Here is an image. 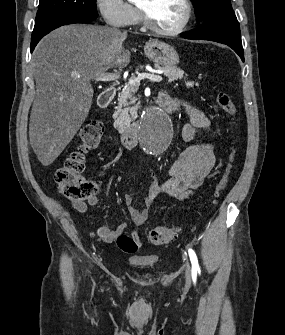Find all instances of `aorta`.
I'll return each mask as SVG.
<instances>
[{
	"instance_id": "aorta-1",
	"label": "aorta",
	"mask_w": 285,
	"mask_h": 335,
	"mask_svg": "<svg viewBox=\"0 0 285 335\" xmlns=\"http://www.w3.org/2000/svg\"><path fill=\"white\" fill-rule=\"evenodd\" d=\"M144 110L142 125L135 127V134L142 137L141 147H149L147 156H162L164 147L173 146L175 119H168V112H160V105H145Z\"/></svg>"
}]
</instances>
